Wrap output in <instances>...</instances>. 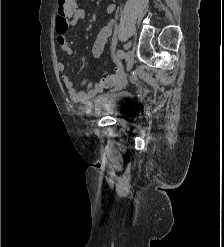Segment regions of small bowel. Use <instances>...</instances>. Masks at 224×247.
<instances>
[{"label":"small bowel","instance_id":"small-bowel-1","mask_svg":"<svg viewBox=\"0 0 224 247\" xmlns=\"http://www.w3.org/2000/svg\"><path fill=\"white\" fill-rule=\"evenodd\" d=\"M115 6L110 5L107 9L108 13H112L114 11ZM86 16V11L83 8L76 9L72 19L71 25H77L81 20H83ZM114 20L111 19L105 26H103L100 31L98 32L93 45H92V54L95 58L101 56L104 51V47L108 41V38L112 34L113 31ZM56 43L64 55H71L72 54V46L70 42L67 40L65 36V32L57 31L56 34ZM66 69V65L64 62L58 63V70L60 72H64ZM116 74H119V69H116ZM62 82L71 98L74 102H83L86 101L97 94L103 91V86L101 84H93L89 79H84L81 82L82 90H77L71 80V78L63 74L62 75Z\"/></svg>","mask_w":224,"mask_h":247}]
</instances>
